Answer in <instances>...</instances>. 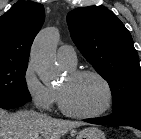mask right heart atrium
I'll list each match as a JSON object with an SVG mask.
<instances>
[{"instance_id": "d8ad5b80", "label": "right heart atrium", "mask_w": 141, "mask_h": 139, "mask_svg": "<svg viewBox=\"0 0 141 139\" xmlns=\"http://www.w3.org/2000/svg\"><path fill=\"white\" fill-rule=\"evenodd\" d=\"M22 81L32 103L41 110H50L57 100L56 91L39 79L35 68L29 61L23 71Z\"/></svg>"}]
</instances>
